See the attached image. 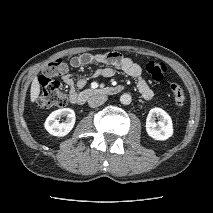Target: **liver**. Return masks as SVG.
<instances>
[{"instance_id": "1", "label": "liver", "mask_w": 213, "mask_h": 213, "mask_svg": "<svg viewBox=\"0 0 213 213\" xmlns=\"http://www.w3.org/2000/svg\"><path fill=\"white\" fill-rule=\"evenodd\" d=\"M39 94H40V85L37 78H34V80L32 81L31 90H30L31 102H35Z\"/></svg>"}]
</instances>
